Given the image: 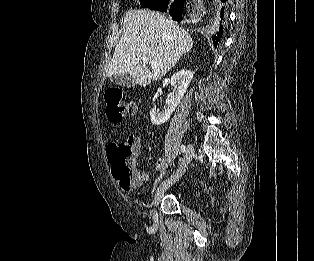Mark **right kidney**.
Instances as JSON below:
<instances>
[{
	"mask_svg": "<svg viewBox=\"0 0 314 261\" xmlns=\"http://www.w3.org/2000/svg\"><path fill=\"white\" fill-rule=\"evenodd\" d=\"M193 72L183 69L171 77V83L175 87L176 92L170 93L166 99V108L160 112L156 107L150 111V118L153 125H161L168 121L171 114L175 111L176 107L183 98L186 90L193 78Z\"/></svg>",
	"mask_w": 314,
	"mask_h": 261,
	"instance_id": "obj_1",
	"label": "right kidney"
}]
</instances>
